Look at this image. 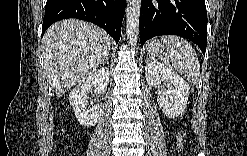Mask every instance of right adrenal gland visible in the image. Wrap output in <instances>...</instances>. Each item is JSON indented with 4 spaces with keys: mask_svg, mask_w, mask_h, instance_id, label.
Instances as JSON below:
<instances>
[{
    "mask_svg": "<svg viewBox=\"0 0 247 156\" xmlns=\"http://www.w3.org/2000/svg\"><path fill=\"white\" fill-rule=\"evenodd\" d=\"M103 64H109V53L106 55V57L102 61Z\"/></svg>",
    "mask_w": 247,
    "mask_h": 156,
    "instance_id": "2a0ac1e0",
    "label": "right adrenal gland"
}]
</instances>
